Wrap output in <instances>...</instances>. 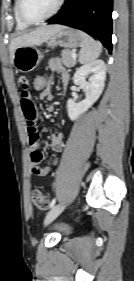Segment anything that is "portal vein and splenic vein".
<instances>
[{
  "label": "portal vein and splenic vein",
  "instance_id": "18ae733b",
  "mask_svg": "<svg viewBox=\"0 0 134 281\" xmlns=\"http://www.w3.org/2000/svg\"><path fill=\"white\" fill-rule=\"evenodd\" d=\"M72 58H73V59H76V58H77L76 53H72Z\"/></svg>",
  "mask_w": 134,
  "mask_h": 281
}]
</instances>
